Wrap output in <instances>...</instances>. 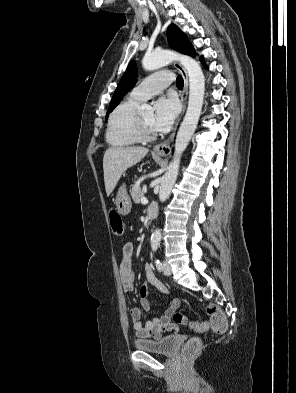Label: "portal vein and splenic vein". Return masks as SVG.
<instances>
[{"label": "portal vein and splenic vein", "mask_w": 296, "mask_h": 393, "mask_svg": "<svg viewBox=\"0 0 296 393\" xmlns=\"http://www.w3.org/2000/svg\"><path fill=\"white\" fill-rule=\"evenodd\" d=\"M141 201H142V202H147V199H146L145 197H142V198H141Z\"/></svg>", "instance_id": "1"}]
</instances>
